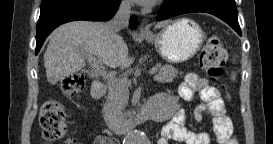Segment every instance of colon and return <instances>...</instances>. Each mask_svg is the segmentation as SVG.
<instances>
[{
	"label": "colon",
	"mask_w": 273,
	"mask_h": 144,
	"mask_svg": "<svg viewBox=\"0 0 273 144\" xmlns=\"http://www.w3.org/2000/svg\"><path fill=\"white\" fill-rule=\"evenodd\" d=\"M227 59V52L222 40L218 36H211L203 46L199 63L201 69L214 82L222 76L223 67ZM84 77L76 74L62 81L61 89L66 95H75L84 87ZM40 125L43 137L47 141L62 138L66 132L65 111L58 102L45 103L40 113Z\"/></svg>",
	"instance_id": "1"
}]
</instances>
